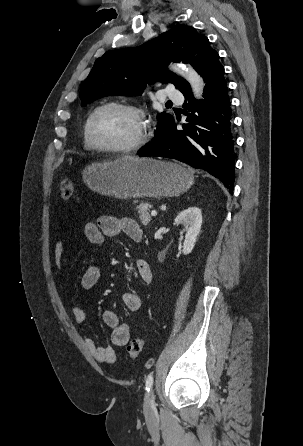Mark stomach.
<instances>
[{
  "label": "stomach",
  "instance_id": "1",
  "mask_svg": "<svg viewBox=\"0 0 303 446\" xmlns=\"http://www.w3.org/2000/svg\"><path fill=\"white\" fill-rule=\"evenodd\" d=\"M193 179L185 167L153 158L122 157L83 170V181L92 191L119 199L177 196Z\"/></svg>",
  "mask_w": 303,
  "mask_h": 446
}]
</instances>
